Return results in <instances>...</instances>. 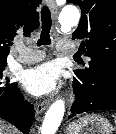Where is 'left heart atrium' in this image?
<instances>
[{"mask_svg":"<svg viewBox=\"0 0 116 134\" xmlns=\"http://www.w3.org/2000/svg\"><path fill=\"white\" fill-rule=\"evenodd\" d=\"M59 73L53 64H43L28 70L23 77L25 89L34 96L53 93L58 88Z\"/></svg>","mask_w":116,"mask_h":134,"instance_id":"1","label":"left heart atrium"}]
</instances>
